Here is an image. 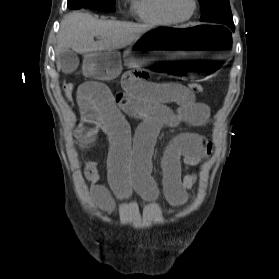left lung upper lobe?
Returning a JSON list of instances; mask_svg holds the SVG:
<instances>
[{"instance_id": "1", "label": "left lung upper lobe", "mask_w": 279, "mask_h": 279, "mask_svg": "<svg viewBox=\"0 0 279 279\" xmlns=\"http://www.w3.org/2000/svg\"><path fill=\"white\" fill-rule=\"evenodd\" d=\"M198 1L202 8L200 21L222 23L233 20L229 0Z\"/></svg>"}]
</instances>
